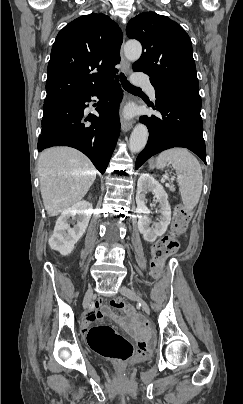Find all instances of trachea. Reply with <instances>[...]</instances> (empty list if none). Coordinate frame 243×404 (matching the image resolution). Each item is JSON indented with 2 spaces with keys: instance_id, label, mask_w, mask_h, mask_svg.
<instances>
[{
  "instance_id": "trachea-1",
  "label": "trachea",
  "mask_w": 243,
  "mask_h": 404,
  "mask_svg": "<svg viewBox=\"0 0 243 404\" xmlns=\"http://www.w3.org/2000/svg\"><path fill=\"white\" fill-rule=\"evenodd\" d=\"M120 81H121L122 87L127 91L141 90V89H139V87H134V85H132L127 80V78L125 77V75L123 73L120 74Z\"/></svg>"
}]
</instances>
